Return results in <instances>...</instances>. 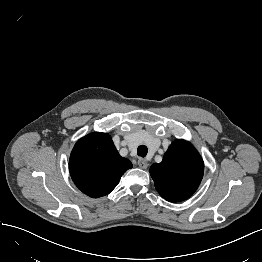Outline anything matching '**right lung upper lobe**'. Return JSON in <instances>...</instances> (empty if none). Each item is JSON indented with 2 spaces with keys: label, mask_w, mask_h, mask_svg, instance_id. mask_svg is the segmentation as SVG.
I'll return each mask as SVG.
<instances>
[{
  "label": "right lung upper lobe",
  "mask_w": 262,
  "mask_h": 262,
  "mask_svg": "<svg viewBox=\"0 0 262 262\" xmlns=\"http://www.w3.org/2000/svg\"><path fill=\"white\" fill-rule=\"evenodd\" d=\"M130 168L132 163L119 155L107 133L94 132L81 138L69 160L75 185L93 198L109 194Z\"/></svg>",
  "instance_id": "1"
}]
</instances>
